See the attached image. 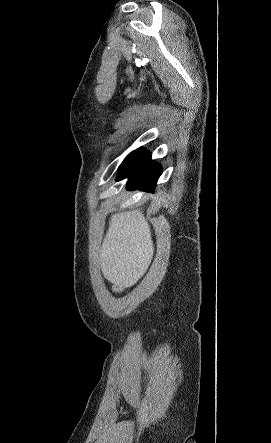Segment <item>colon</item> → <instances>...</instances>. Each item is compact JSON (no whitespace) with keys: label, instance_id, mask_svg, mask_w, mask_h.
Instances as JSON below:
<instances>
[{"label":"colon","instance_id":"obj_1","mask_svg":"<svg viewBox=\"0 0 271 443\" xmlns=\"http://www.w3.org/2000/svg\"><path fill=\"white\" fill-rule=\"evenodd\" d=\"M124 289V286L122 284H115L114 291L115 292H121Z\"/></svg>","mask_w":271,"mask_h":443}]
</instances>
